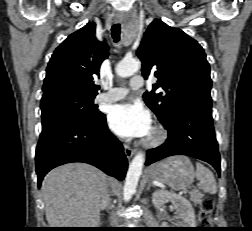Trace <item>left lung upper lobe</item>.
Returning <instances> with one entry per match:
<instances>
[{
  "instance_id": "left-lung-upper-lobe-1",
  "label": "left lung upper lobe",
  "mask_w": 252,
  "mask_h": 231,
  "mask_svg": "<svg viewBox=\"0 0 252 231\" xmlns=\"http://www.w3.org/2000/svg\"><path fill=\"white\" fill-rule=\"evenodd\" d=\"M136 54L142 62L143 76L157 78L152 91L143 97L161 123L180 105L198 102L211 106L212 81L205 52L182 30L155 19ZM159 87L165 92L155 94Z\"/></svg>"
}]
</instances>
